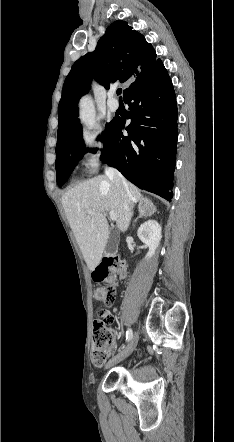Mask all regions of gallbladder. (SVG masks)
Masks as SVG:
<instances>
[{
	"instance_id": "obj_1",
	"label": "gallbladder",
	"mask_w": 234,
	"mask_h": 442,
	"mask_svg": "<svg viewBox=\"0 0 234 442\" xmlns=\"http://www.w3.org/2000/svg\"><path fill=\"white\" fill-rule=\"evenodd\" d=\"M106 253L112 255L116 250V239L113 232L110 233L107 245H106Z\"/></svg>"
}]
</instances>
